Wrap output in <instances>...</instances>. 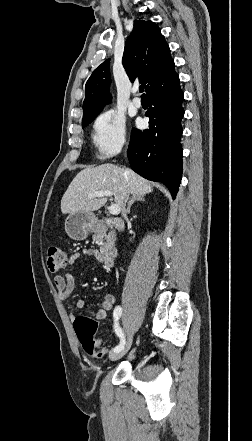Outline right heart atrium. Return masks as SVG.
Wrapping results in <instances>:
<instances>
[{
  "instance_id": "1",
  "label": "right heart atrium",
  "mask_w": 252,
  "mask_h": 441,
  "mask_svg": "<svg viewBox=\"0 0 252 441\" xmlns=\"http://www.w3.org/2000/svg\"><path fill=\"white\" fill-rule=\"evenodd\" d=\"M92 141L100 159L118 154L127 144L124 117L114 111L101 113L93 123Z\"/></svg>"
}]
</instances>
